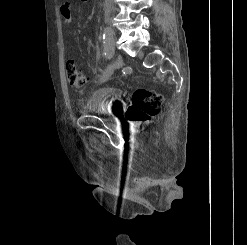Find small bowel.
<instances>
[{
	"mask_svg": "<svg viewBox=\"0 0 247 245\" xmlns=\"http://www.w3.org/2000/svg\"><path fill=\"white\" fill-rule=\"evenodd\" d=\"M85 1V0H83ZM61 13L66 19V21L70 22L71 21V10H70V5L68 3H64L61 6Z\"/></svg>",
	"mask_w": 247,
	"mask_h": 245,
	"instance_id": "obj_1",
	"label": "small bowel"
}]
</instances>
